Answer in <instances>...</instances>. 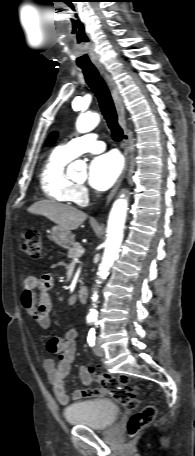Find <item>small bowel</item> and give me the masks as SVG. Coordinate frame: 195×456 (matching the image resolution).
<instances>
[{"instance_id": "c3829d8e", "label": "small bowel", "mask_w": 195, "mask_h": 456, "mask_svg": "<svg viewBox=\"0 0 195 456\" xmlns=\"http://www.w3.org/2000/svg\"><path fill=\"white\" fill-rule=\"evenodd\" d=\"M52 286L53 277L49 274L28 276L22 282V306L43 331L50 327L52 303L48 296V291ZM36 292L39 293L38 297L36 296ZM76 337V330L69 328L61 335L50 338L46 343L47 352L56 355L58 362L56 363L52 358L46 357L43 360V367L49 377L54 395L62 405H67L70 399L76 401L83 398L103 396L105 394L103 389L90 387L92 384V375L87 367H80L78 371L79 379L86 388L74 390L71 397L67 394L65 378L70 372L71 365L75 359Z\"/></svg>"}]
</instances>
